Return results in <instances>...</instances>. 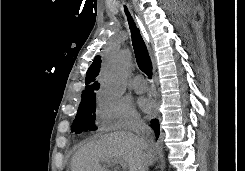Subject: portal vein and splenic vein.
<instances>
[{
	"mask_svg": "<svg viewBox=\"0 0 245 171\" xmlns=\"http://www.w3.org/2000/svg\"><path fill=\"white\" fill-rule=\"evenodd\" d=\"M106 162L110 165L119 164L123 167L124 170H126V168H127L126 163L124 162V160H121V159H113V160H108Z\"/></svg>",
	"mask_w": 245,
	"mask_h": 171,
	"instance_id": "1",
	"label": "portal vein and splenic vein"
}]
</instances>
